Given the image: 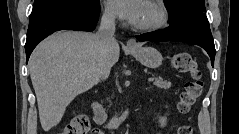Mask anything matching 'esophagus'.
I'll list each match as a JSON object with an SVG mask.
<instances>
[{
    "label": "esophagus",
    "instance_id": "esophagus-1",
    "mask_svg": "<svg viewBox=\"0 0 239 134\" xmlns=\"http://www.w3.org/2000/svg\"><path fill=\"white\" fill-rule=\"evenodd\" d=\"M126 46L128 48H136L137 47V43L134 39H129L127 42H126Z\"/></svg>",
    "mask_w": 239,
    "mask_h": 134
}]
</instances>
